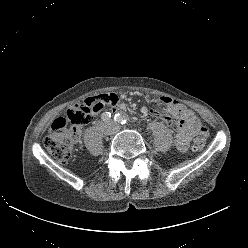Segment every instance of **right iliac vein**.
I'll return each mask as SVG.
<instances>
[{
  "mask_svg": "<svg viewBox=\"0 0 248 248\" xmlns=\"http://www.w3.org/2000/svg\"><path fill=\"white\" fill-rule=\"evenodd\" d=\"M104 133L106 135H111L113 133V128L110 125H105L104 126Z\"/></svg>",
  "mask_w": 248,
  "mask_h": 248,
  "instance_id": "obj_1",
  "label": "right iliac vein"
}]
</instances>
